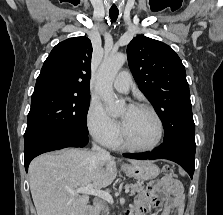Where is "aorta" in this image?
<instances>
[{
  "label": "aorta",
  "mask_w": 223,
  "mask_h": 215,
  "mask_svg": "<svg viewBox=\"0 0 223 215\" xmlns=\"http://www.w3.org/2000/svg\"><path fill=\"white\" fill-rule=\"evenodd\" d=\"M125 62H127L126 54H112L104 58L98 68L95 90L107 104L106 111L109 115H120L125 108L124 100H115L113 92V80Z\"/></svg>",
  "instance_id": "1"
}]
</instances>
